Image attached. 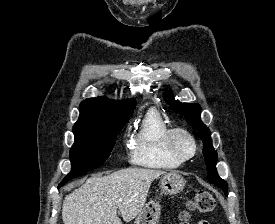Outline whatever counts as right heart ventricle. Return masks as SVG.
<instances>
[{"label": "right heart ventricle", "mask_w": 275, "mask_h": 224, "mask_svg": "<svg viewBox=\"0 0 275 224\" xmlns=\"http://www.w3.org/2000/svg\"><path fill=\"white\" fill-rule=\"evenodd\" d=\"M170 127L155 109L146 112L130 143V159L135 165L151 169H175L182 161L173 156L166 146Z\"/></svg>", "instance_id": "e07e8e85"}]
</instances>
